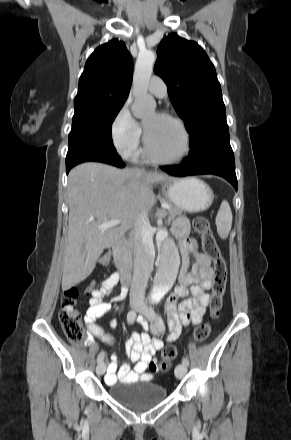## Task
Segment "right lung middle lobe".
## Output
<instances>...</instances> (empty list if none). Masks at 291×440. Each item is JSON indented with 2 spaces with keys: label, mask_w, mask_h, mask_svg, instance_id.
<instances>
[{
  "label": "right lung middle lobe",
  "mask_w": 291,
  "mask_h": 440,
  "mask_svg": "<svg viewBox=\"0 0 291 440\" xmlns=\"http://www.w3.org/2000/svg\"><path fill=\"white\" fill-rule=\"evenodd\" d=\"M125 101L104 100L74 103L69 148L74 145L99 146L115 150L111 126Z\"/></svg>",
  "instance_id": "dd1d6c3e"
}]
</instances>
